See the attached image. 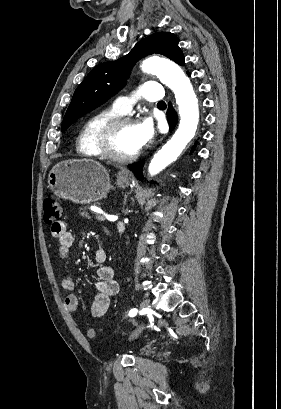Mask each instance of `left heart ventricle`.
I'll return each instance as SVG.
<instances>
[{"instance_id": "b2bd125f", "label": "left heart ventricle", "mask_w": 281, "mask_h": 409, "mask_svg": "<svg viewBox=\"0 0 281 409\" xmlns=\"http://www.w3.org/2000/svg\"><path fill=\"white\" fill-rule=\"evenodd\" d=\"M111 147L114 152L126 155L136 152L141 148L136 126H121L111 137Z\"/></svg>"}]
</instances>
